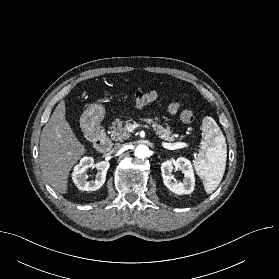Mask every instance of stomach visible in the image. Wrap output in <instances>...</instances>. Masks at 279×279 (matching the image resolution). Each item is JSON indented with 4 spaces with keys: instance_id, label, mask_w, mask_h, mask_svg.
<instances>
[{
    "instance_id": "obj_1",
    "label": "stomach",
    "mask_w": 279,
    "mask_h": 279,
    "mask_svg": "<svg viewBox=\"0 0 279 279\" xmlns=\"http://www.w3.org/2000/svg\"><path fill=\"white\" fill-rule=\"evenodd\" d=\"M105 116V108L101 104H92L82 115V123L85 128L98 126Z\"/></svg>"
}]
</instances>
